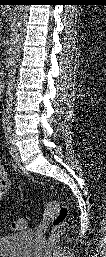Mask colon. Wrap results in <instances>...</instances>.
I'll return each instance as SVG.
<instances>
[{"instance_id":"colon-1","label":"colon","mask_w":106,"mask_h":257,"mask_svg":"<svg viewBox=\"0 0 106 257\" xmlns=\"http://www.w3.org/2000/svg\"><path fill=\"white\" fill-rule=\"evenodd\" d=\"M49 210H53L51 216L52 222V233L51 240H58L65 232L66 220L68 216V207L67 206H58L49 205ZM29 220L26 217L20 218L18 220L12 221L8 224V228L13 231L24 230L28 227Z\"/></svg>"}]
</instances>
